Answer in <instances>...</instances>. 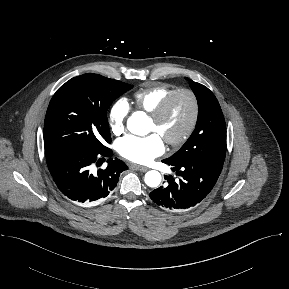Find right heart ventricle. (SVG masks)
Segmentation results:
<instances>
[{"mask_svg": "<svg viewBox=\"0 0 289 289\" xmlns=\"http://www.w3.org/2000/svg\"><path fill=\"white\" fill-rule=\"evenodd\" d=\"M177 89L178 87L165 83L148 84L134 93V104L137 109L150 114Z\"/></svg>", "mask_w": 289, "mask_h": 289, "instance_id": "obj_1", "label": "right heart ventricle"}]
</instances>
